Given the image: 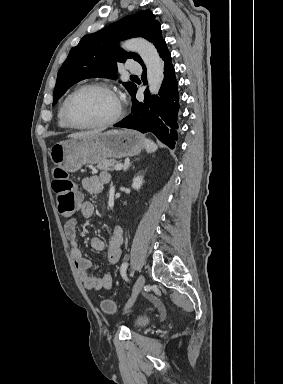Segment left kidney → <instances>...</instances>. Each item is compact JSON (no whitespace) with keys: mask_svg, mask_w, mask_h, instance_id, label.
Returning a JSON list of instances; mask_svg holds the SVG:
<instances>
[{"mask_svg":"<svg viewBox=\"0 0 283 384\" xmlns=\"http://www.w3.org/2000/svg\"><path fill=\"white\" fill-rule=\"evenodd\" d=\"M143 184V176H137V178H134L132 188L134 190H140L141 186Z\"/></svg>","mask_w":283,"mask_h":384,"instance_id":"1","label":"left kidney"}]
</instances>
